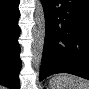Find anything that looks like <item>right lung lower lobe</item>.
<instances>
[{
    "mask_svg": "<svg viewBox=\"0 0 89 89\" xmlns=\"http://www.w3.org/2000/svg\"><path fill=\"white\" fill-rule=\"evenodd\" d=\"M19 0H0V84L19 89Z\"/></svg>",
    "mask_w": 89,
    "mask_h": 89,
    "instance_id": "obj_1",
    "label": "right lung lower lobe"
}]
</instances>
